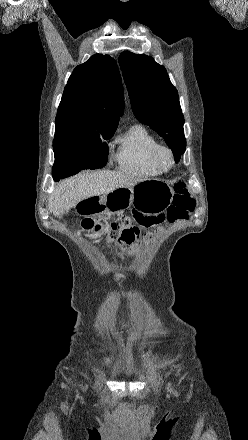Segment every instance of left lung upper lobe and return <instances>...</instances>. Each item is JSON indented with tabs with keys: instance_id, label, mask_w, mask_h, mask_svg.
I'll list each match as a JSON object with an SVG mask.
<instances>
[{
	"instance_id": "1",
	"label": "left lung upper lobe",
	"mask_w": 248,
	"mask_h": 440,
	"mask_svg": "<svg viewBox=\"0 0 248 440\" xmlns=\"http://www.w3.org/2000/svg\"><path fill=\"white\" fill-rule=\"evenodd\" d=\"M119 64L134 115L165 139L175 161L184 153V117L176 88L164 66L145 54L124 51Z\"/></svg>"
}]
</instances>
